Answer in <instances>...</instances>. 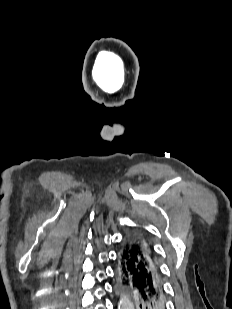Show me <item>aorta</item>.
<instances>
[{
  "label": "aorta",
  "mask_w": 232,
  "mask_h": 309,
  "mask_svg": "<svg viewBox=\"0 0 232 309\" xmlns=\"http://www.w3.org/2000/svg\"><path fill=\"white\" fill-rule=\"evenodd\" d=\"M118 309H134V305L127 296H122L119 301Z\"/></svg>",
  "instance_id": "obj_1"
}]
</instances>
